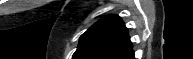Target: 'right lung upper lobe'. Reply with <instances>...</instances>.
<instances>
[{"label": "right lung upper lobe", "instance_id": "cb5924a9", "mask_svg": "<svg viewBox=\"0 0 193 59\" xmlns=\"http://www.w3.org/2000/svg\"><path fill=\"white\" fill-rule=\"evenodd\" d=\"M134 55L127 29L118 16L91 26L81 37L73 59H129Z\"/></svg>", "mask_w": 193, "mask_h": 59}]
</instances>
